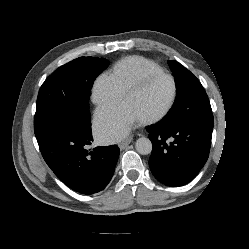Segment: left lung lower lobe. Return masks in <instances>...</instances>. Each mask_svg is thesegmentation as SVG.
I'll return each mask as SVG.
<instances>
[{
    "mask_svg": "<svg viewBox=\"0 0 249 249\" xmlns=\"http://www.w3.org/2000/svg\"><path fill=\"white\" fill-rule=\"evenodd\" d=\"M213 119L183 126L161 121L147 131L153 144L149 159L152 174L161 183L178 187L189 183L208 159Z\"/></svg>",
    "mask_w": 249,
    "mask_h": 249,
    "instance_id": "1",
    "label": "left lung lower lobe"
}]
</instances>
